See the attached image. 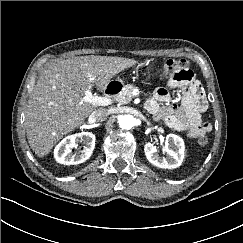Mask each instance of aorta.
Here are the masks:
<instances>
[{"instance_id": "aorta-1", "label": "aorta", "mask_w": 243, "mask_h": 243, "mask_svg": "<svg viewBox=\"0 0 243 243\" xmlns=\"http://www.w3.org/2000/svg\"><path fill=\"white\" fill-rule=\"evenodd\" d=\"M119 127L124 130H130L135 125V118L132 115H123L118 119Z\"/></svg>"}]
</instances>
